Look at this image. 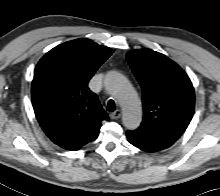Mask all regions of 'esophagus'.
Here are the masks:
<instances>
[{
  "label": "esophagus",
  "instance_id": "1",
  "mask_svg": "<svg viewBox=\"0 0 220 196\" xmlns=\"http://www.w3.org/2000/svg\"><path fill=\"white\" fill-rule=\"evenodd\" d=\"M111 119H119L121 117V111L117 110L110 114Z\"/></svg>",
  "mask_w": 220,
  "mask_h": 196
}]
</instances>
